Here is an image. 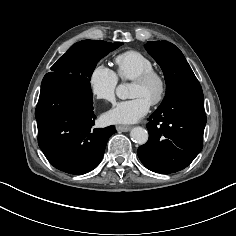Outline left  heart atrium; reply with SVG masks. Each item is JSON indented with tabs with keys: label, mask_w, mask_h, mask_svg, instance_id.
Instances as JSON below:
<instances>
[{
	"label": "left heart atrium",
	"mask_w": 236,
	"mask_h": 236,
	"mask_svg": "<svg viewBox=\"0 0 236 236\" xmlns=\"http://www.w3.org/2000/svg\"><path fill=\"white\" fill-rule=\"evenodd\" d=\"M150 105V102L143 97H133L117 103L105 113L104 119L112 124L134 123L148 113Z\"/></svg>",
	"instance_id": "39dd6f15"
}]
</instances>
